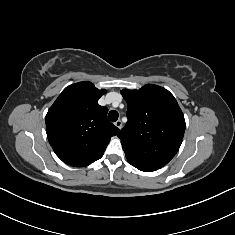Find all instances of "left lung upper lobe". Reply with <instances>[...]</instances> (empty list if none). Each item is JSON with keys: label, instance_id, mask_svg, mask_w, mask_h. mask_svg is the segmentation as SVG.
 Wrapping results in <instances>:
<instances>
[{"label": "left lung upper lobe", "instance_id": "obj_1", "mask_svg": "<svg viewBox=\"0 0 235 235\" xmlns=\"http://www.w3.org/2000/svg\"><path fill=\"white\" fill-rule=\"evenodd\" d=\"M128 103L126 126L118 137L130 162L161 168L177 153L185 132L184 115L165 88L147 84L121 91Z\"/></svg>", "mask_w": 235, "mask_h": 235}]
</instances>
